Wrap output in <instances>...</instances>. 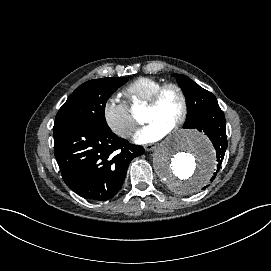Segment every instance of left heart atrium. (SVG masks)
Returning <instances> with one entry per match:
<instances>
[{
	"label": "left heart atrium",
	"mask_w": 271,
	"mask_h": 271,
	"mask_svg": "<svg viewBox=\"0 0 271 271\" xmlns=\"http://www.w3.org/2000/svg\"><path fill=\"white\" fill-rule=\"evenodd\" d=\"M171 129L164 127L156 122L148 123L146 126L138 129L133 135V141L137 144L155 143L170 133Z\"/></svg>",
	"instance_id": "obj_1"
}]
</instances>
